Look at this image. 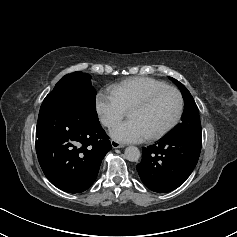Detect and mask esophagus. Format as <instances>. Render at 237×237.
Returning <instances> with one entry per match:
<instances>
[{"mask_svg":"<svg viewBox=\"0 0 237 237\" xmlns=\"http://www.w3.org/2000/svg\"><path fill=\"white\" fill-rule=\"evenodd\" d=\"M111 145H112L113 148H123L124 147V144H122L118 141H115V140L111 141Z\"/></svg>","mask_w":237,"mask_h":237,"instance_id":"esophagus-1","label":"esophagus"}]
</instances>
